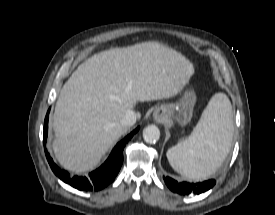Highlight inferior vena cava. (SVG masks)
<instances>
[{
    "label": "inferior vena cava",
    "mask_w": 275,
    "mask_h": 215,
    "mask_svg": "<svg viewBox=\"0 0 275 215\" xmlns=\"http://www.w3.org/2000/svg\"><path fill=\"white\" fill-rule=\"evenodd\" d=\"M137 119L136 113L132 110H128L125 116L121 119L120 123L124 126H132Z\"/></svg>",
    "instance_id": "inferior-vena-cava-1"
}]
</instances>
